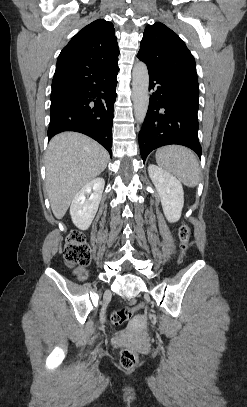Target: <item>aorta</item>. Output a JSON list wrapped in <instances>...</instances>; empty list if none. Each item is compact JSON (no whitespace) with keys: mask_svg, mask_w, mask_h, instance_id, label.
I'll return each instance as SVG.
<instances>
[{"mask_svg":"<svg viewBox=\"0 0 247 407\" xmlns=\"http://www.w3.org/2000/svg\"><path fill=\"white\" fill-rule=\"evenodd\" d=\"M149 75L147 66L142 62L134 65L132 72V90L134 115L138 123H142L146 117L149 105Z\"/></svg>","mask_w":247,"mask_h":407,"instance_id":"obj_1","label":"aorta"}]
</instances>
